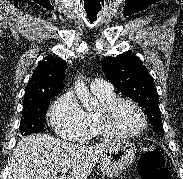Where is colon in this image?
<instances>
[{"label":"colon","mask_w":183,"mask_h":179,"mask_svg":"<svg viewBox=\"0 0 183 179\" xmlns=\"http://www.w3.org/2000/svg\"><path fill=\"white\" fill-rule=\"evenodd\" d=\"M138 170L142 179H172L163 154L155 148H145L142 151Z\"/></svg>","instance_id":"5ec220e1"}]
</instances>
